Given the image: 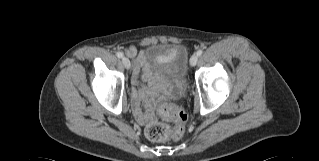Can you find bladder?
<instances>
[{
  "label": "bladder",
  "mask_w": 319,
  "mask_h": 161,
  "mask_svg": "<svg viewBox=\"0 0 319 161\" xmlns=\"http://www.w3.org/2000/svg\"><path fill=\"white\" fill-rule=\"evenodd\" d=\"M145 68L152 74L174 81L187 74L189 51L178 44H152L143 51Z\"/></svg>",
  "instance_id": "bladder-1"
}]
</instances>
